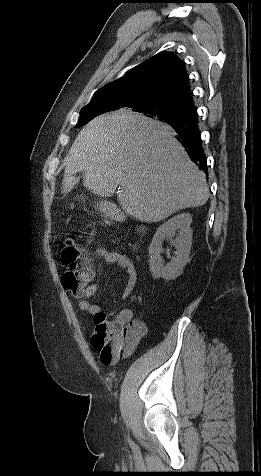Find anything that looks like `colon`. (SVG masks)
<instances>
[{
  "mask_svg": "<svg viewBox=\"0 0 261 476\" xmlns=\"http://www.w3.org/2000/svg\"><path fill=\"white\" fill-rule=\"evenodd\" d=\"M79 251L73 245H68L62 253V262L66 266L62 273L63 287L76 293L86 286L92 278L90 267L79 268L77 261ZM122 331L113 328L106 322L105 316L99 314L95 318V329L92 335V345L102 355H109L112 349L121 341Z\"/></svg>",
  "mask_w": 261,
  "mask_h": 476,
  "instance_id": "colon-1",
  "label": "colon"
}]
</instances>
